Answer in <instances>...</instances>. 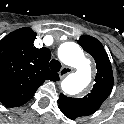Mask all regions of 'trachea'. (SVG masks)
Returning a JSON list of instances; mask_svg holds the SVG:
<instances>
[{
  "instance_id": "1",
  "label": "trachea",
  "mask_w": 124,
  "mask_h": 124,
  "mask_svg": "<svg viewBox=\"0 0 124 124\" xmlns=\"http://www.w3.org/2000/svg\"><path fill=\"white\" fill-rule=\"evenodd\" d=\"M49 66L55 72L61 69V63L58 60H51Z\"/></svg>"
}]
</instances>
